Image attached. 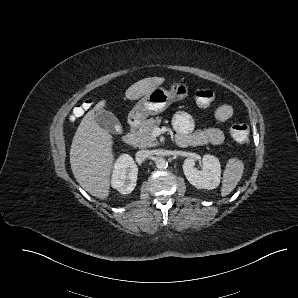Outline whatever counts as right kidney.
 I'll return each mask as SVG.
<instances>
[{
  "label": "right kidney",
  "instance_id": "right-kidney-1",
  "mask_svg": "<svg viewBox=\"0 0 298 298\" xmlns=\"http://www.w3.org/2000/svg\"><path fill=\"white\" fill-rule=\"evenodd\" d=\"M138 167L128 153H120L112 165L110 185L120 194H129L136 186Z\"/></svg>",
  "mask_w": 298,
  "mask_h": 298
}]
</instances>
